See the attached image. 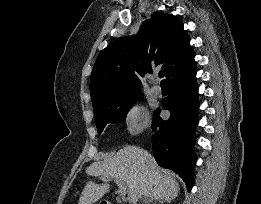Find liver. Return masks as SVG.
Listing matches in <instances>:
<instances>
[{
  "label": "liver",
  "instance_id": "6515ba94",
  "mask_svg": "<svg viewBox=\"0 0 261 204\" xmlns=\"http://www.w3.org/2000/svg\"><path fill=\"white\" fill-rule=\"evenodd\" d=\"M88 176L103 179H120L128 188V201L136 204L142 196L155 200L171 201L178 196L179 184L173 174L162 170L154 157L140 147L127 145L113 157L92 163L87 169ZM108 183L99 185L88 181L78 204H93L108 191Z\"/></svg>",
  "mask_w": 261,
  "mask_h": 204
}]
</instances>
